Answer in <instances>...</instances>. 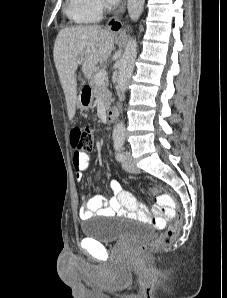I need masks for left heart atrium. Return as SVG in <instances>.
<instances>
[{"mask_svg": "<svg viewBox=\"0 0 227 298\" xmlns=\"http://www.w3.org/2000/svg\"><path fill=\"white\" fill-rule=\"evenodd\" d=\"M109 3H111V4H115V3H117L119 0H107Z\"/></svg>", "mask_w": 227, "mask_h": 298, "instance_id": "obj_1", "label": "left heart atrium"}]
</instances>
